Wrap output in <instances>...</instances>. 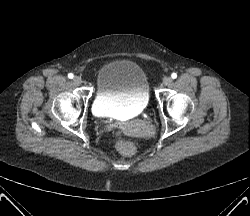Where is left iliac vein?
<instances>
[{
    "mask_svg": "<svg viewBox=\"0 0 250 216\" xmlns=\"http://www.w3.org/2000/svg\"><path fill=\"white\" fill-rule=\"evenodd\" d=\"M172 81L173 80H172L171 77H165L164 80H163V83H164L165 86H169V85H171Z\"/></svg>",
    "mask_w": 250,
    "mask_h": 216,
    "instance_id": "4c4485c4",
    "label": "left iliac vein"
}]
</instances>
